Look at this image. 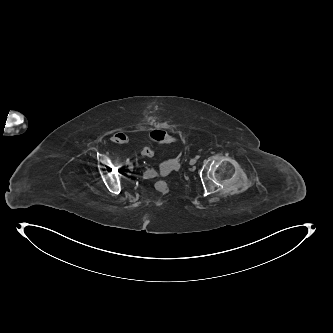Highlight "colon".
I'll use <instances>...</instances> for the list:
<instances>
[{
	"mask_svg": "<svg viewBox=\"0 0 333 333\" xmlns=\"http://www.w3.org/2000/svg\"><path fill=\"white\" fill-rule=\"evenodd\" d=\"M177 138L168 133L167 131L164 130H154L151 132L150 135V144L142 150V155L146 158H151L153 157L155 153V147L161 144H169L174 141H176ZM148 173L151 175V177H157L158 173L157 170L154 168H150L148 170ZM155 190L160 194V195H166L169 193L170 188L169 184L164 181V180H159L155 184Z\"/></svg>",
	"mask_w": 333,
	"mask_h": 333,
	"instance_id": "colon-1",
	"label": "colon"
}]
</instances>
